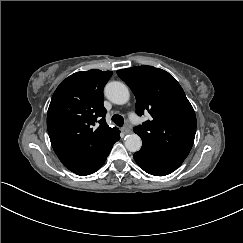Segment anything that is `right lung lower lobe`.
<instances>
[{
  "label": "right lung lower lobe",
  "instance_id": "right-lung-lower-lobe-1",
  "mask_svg": "<svg viewBox=\"0 0 243 243\" xmlns=\"http://www.w3.org/2000/svg\"><path fill=\"white\" fill-rule=\"evenodd\" d=\"M111 148L102 157H100L93 165H91L89 168H87V169H85L83 171H80V172H78L76 174L80 175V176H85V175H89V174H92V173L96 172L104 164L107 156L109 155V153L111 151Z\"/></svg>",
  "mask_w": 243,
  "mask_h": 243
}]
</instances>
